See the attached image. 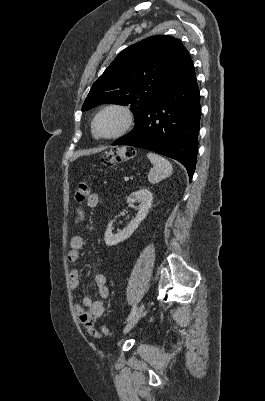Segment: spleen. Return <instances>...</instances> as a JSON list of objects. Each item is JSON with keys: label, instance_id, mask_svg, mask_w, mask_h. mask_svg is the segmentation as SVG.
<instances>
[{"label": "spleen", "instance_id": "spleen-1", "mask_svg": "<svg viewBox=\"0 0 265 401\" xmlns=\"http://www.w3.org/2000/svg\"><path fill=\"white\" fill-rule=\"evenodd\" d=\"M147 156L153 164V168L148 174V180L151 184H156V182H160V180L167 178L171 174L173 166L164 156H159L155 152H148Z\"/></svg>", "mask_w": 265, "mask_h": 401}]
</instances>
